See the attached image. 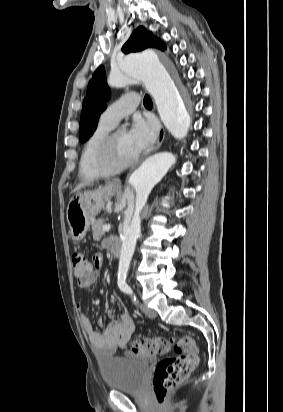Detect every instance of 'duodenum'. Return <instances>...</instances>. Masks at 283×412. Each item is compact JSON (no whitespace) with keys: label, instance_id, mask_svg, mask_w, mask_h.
<instances>
[{"label":"duodenum","instance_id":"obj_1","mask_svg":"<svg viewBox=\"0 0 283 412\" xmlns=\"http://www.w3.org/2000/svg\"><path fill=\"white\" fill-rule=\"evenodd\" d=\"M121 247H122L121 241L119 239H113L110 249L114 255H118L120 253Z\"/></svg>","mask_w":283,"mask_h":412}]
</instances>
